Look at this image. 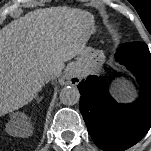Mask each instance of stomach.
Wrapping results in <instances>:
<instances>
[{
  "label": "stomach",
  "mask_w": 151,
  "mask_h": 151,
  "mask_svg": "<svg viewBox=\"0 0 151 151\" xmlns=\"http://www.w3.org/2000/svg\"><path fill=\"white\" fill-rule=\"evenodd\" d=\"M104 61L105 56L103 51L88 47L85 53L80 55L76 61L75 67L83 74L99 72L102 69Z\"/></svg>",
  "instance_id": "stomach-1"
}]
</instances>
